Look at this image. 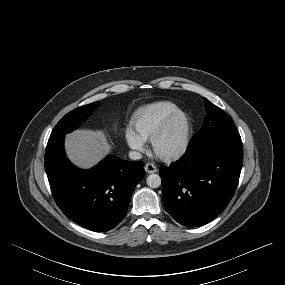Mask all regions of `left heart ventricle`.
Segmentation results:
<instances>
[{
  "label": "left heart ventricle",
  "instance_id": "1",
  "mask_svg": "<svg viewBox=\"0 0 285 285\" xmlns=\"http://www.w3.org/2000/svg\"><path fill=\"white\" fill-rule=\"evenodd\" d=\"M185 131L186 120L183 117H178L159 141L158 149L163 153H170L177 150L183 141Z\"/></svg>",
  "mask_w": 285,
  "mask_h": 285
}]
</instances>
